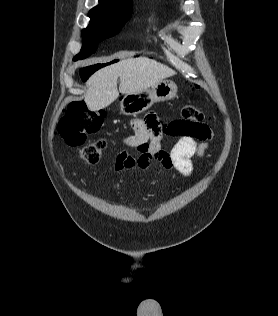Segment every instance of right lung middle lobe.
I'll list each match as a JSON object with an SVG mask.
<instances>
[{"label":"right lung middle lobe","mask_w":278,"mask_h":316,"mask_svg":"<svg viewBox=\"0 0 278 316\" xmlns=\"http://www.w3.org/2000/svg\"><path fill=\"white\" fill-rule=\"evenodd\" d=\"M132 8L106 9L93 8L89 12L90 23L82 31L83 46L73 60L84 59L96 51V43L117 34L129 19ZM95 69L85 68L81 71V77L86 79Z\"/></svg>","instance_id":"dd1d6c3e"}]
</instances>
